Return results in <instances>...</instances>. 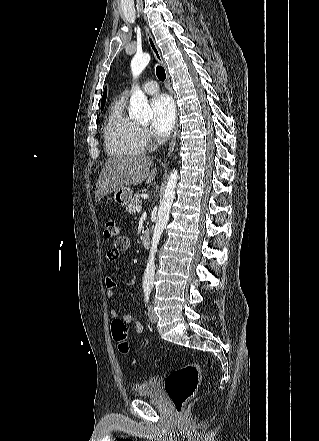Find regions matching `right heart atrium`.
<instances>
[{
  "instance_id": "right-heart-atrium-1",
  "label": "right heart atrium",
  "mask_w": 319,
  "mask_h": 441,
  "mask_svg": "<svg viewBox=\"0 0 319 441\" xmlns=\"http://www.w3.org/2000/svg\"><path fill=\"white\" fill-rule=\"evenodd\" d=\"M140 138L144 145V147H148L152 145L154 139L152 134L149 132V130L145 127L140 126Z\"/></svg>"
}]
</instances>
